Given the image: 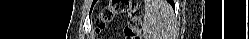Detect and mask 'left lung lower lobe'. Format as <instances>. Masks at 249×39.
Segmentation results:
<instances>
[{
    "label": "left lung lower lobe",
    "mask_w": 249,
    "mask_h": 39,
    "mask_svg": "<svg viewBox=\"0 0 249 39\" xmlns=\"http://www.w3.org/2000/svg\"><path fill=\"white\" fill-rule=\"evenodd\" d=\"M171 4H172V6L174 7V3H173V1H169Z\"/></svg>",
    "instance_id": "left-lung-lower-lobe-1"
}]
</instances>
